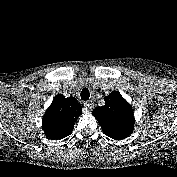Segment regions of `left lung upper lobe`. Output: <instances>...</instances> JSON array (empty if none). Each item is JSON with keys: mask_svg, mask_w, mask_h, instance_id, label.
<instances>
[{"mask_svg": "<svg viewBox=\"0 0 177 177\" xmlns=\"http://www.w3.org/2000/svg\"><path fill=\"white\" fill-rule=\"evenodd\" d=\"M104 101V106L96 107L92 112L104 134L116 140L127 138L135 124L131 105L117 91L111 92Z\"/></svg>", "mask_w": 177, "mask_h": 177, "instance_id": "obj_1", "label": "left lung upper lobe"}]
</instances>
